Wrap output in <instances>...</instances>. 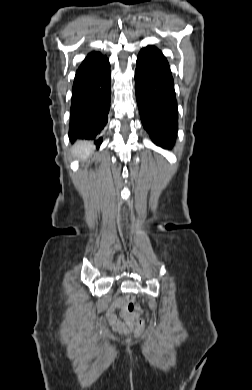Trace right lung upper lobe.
<instances>
[{
    "mask_svg": "<svg viewBox=\"0 0 252 390\" xmlns=\"http://www.w3.org/2000/svg\"><path fill=\"white\" fill-rule=\"evenodd\" d=\"M108 65L109 61L106 56H103L99 52H91L79 66L75 78L86 75H95L103 71Z\"/></svg>",
    "mask_w": 252,
    "mask_h": 390,
    "instance_id": "1",
    "label": "right lung upper lobe"
}]
</instances>
